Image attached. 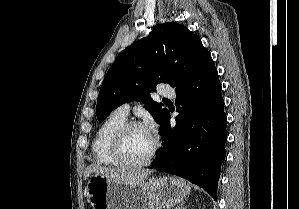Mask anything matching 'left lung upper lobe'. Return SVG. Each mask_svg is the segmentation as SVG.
Instances as JSON below:
<instances>
[{
	"label": "left lung upper lobe",
	"instance_id": "1",
	"mask_svg": "<svg viewBox=\"0 0 299 209\" xmlns=\"http://www.w3.org/2000/svg\"><path fill=\"white\" fill-rule=\"evenodd\" d=\"M211 58L200 38L177 23L156 26L145 38L120 52L102 83L96 115L102 122L119 105L138 100L161 125L168 114L148 92L158 83L177 87L189 81Z\"/></svg>",
	"mask_w": 299,
	"mask_h": 209
}]
</instances>
